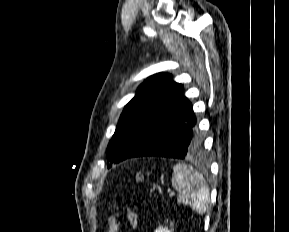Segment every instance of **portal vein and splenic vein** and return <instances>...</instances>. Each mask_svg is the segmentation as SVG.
Instances as JSON below:
<instances>
[{"label": "portal vein and splenic vein", "mask_w": 289, "mask_h": 232, "mask_svg": "<svg viewBox=\"0 0 289 232\" xmlns=\"http://www.w3.org/2000/svg\"><path fill=\"white\" fill-rule=\"evenodd\" d=\"M175 197V192H170L168 198H173Z\"/></svg>", "instance_id": "18ae733b"}]
</instances>
